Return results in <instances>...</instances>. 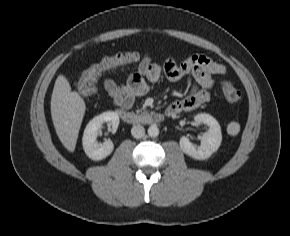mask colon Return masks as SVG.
Returning <instances> with one entry per match:
<instances>
[{"instance_id": "obj_1", "label": "colon", "mask_w": 290, "mask_h": 236, "mask_svg": "<svg viewBox=\"0 0 290 236\" xmlns=\"http://www.w3.org/2000/svg\"><path fill=\"white\" fill-rule=\"evenodd\" d=\"M142 57L138 52H125L103 58L82 73L77 83L79 93L84 97L92 96L96 90L95 83L102 73L137 63ZM223 90L226 99L231 103H237L242 98L241 92L231 83H225Z\"/></svg>"}]
</instances>
